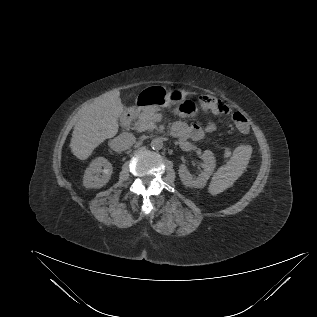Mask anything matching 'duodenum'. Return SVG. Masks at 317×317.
Segmentation results:
<instances>
[{"label":"duodenum","instance_id":"obj_1","mask_svg":"<svg viewBox=\"0 0 317 317\" xmlns=\"http://www.w3.org/2000/svg\"><path fill=\"white\" fill-rule=\"evenodd\" d=\"M134 111H135L134 107H130V108L125 110V112L123 113V115L121 117V125L123 127H128L131 124L132 118L134 115Z\"/></svg>","mask_w":317,"mask_h":317}]
</instances>
